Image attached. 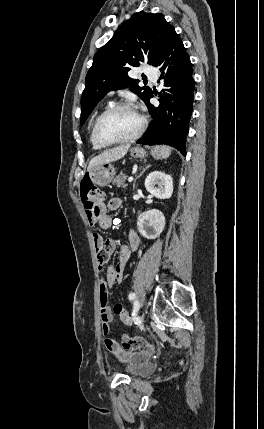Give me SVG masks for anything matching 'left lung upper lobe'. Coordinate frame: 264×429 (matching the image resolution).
<instances>
[{
    "instance_id": "obj_1",
    "label": "left lung upper lobe",
    "mask_w": 264,
    "mask_h": 429,
    "mask_svg": "<svg viewBox=\"0 0 264 429\" xmlns=\"http://www.w3.org/2000/svg\"><path fill=\"white\" fill-rule=\"evenodd\" d=\"M172 29L162 14L144 11L135 13L121 24L111 40L95 54L86 75L81 98V125L108 91L129 87L145 103L148 101L152 90L140 87L138 80L127 73L144 61L147 50L155 53L148 55V63L156 66L163 43Z\"/></svg>"
}]
</instances>
